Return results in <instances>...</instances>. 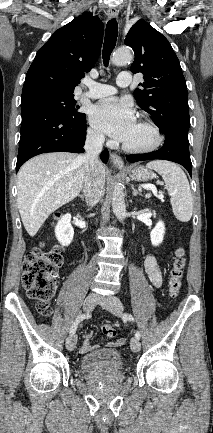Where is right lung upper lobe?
<instances>
[{
    "instance_id": "right-lung-upper-lobe-1",
    "label": "right lung upper lobe",
    "mask_w": 213,
    "mask_h": 433,
    "mask_svg": "<svg viewBox=\"0 0 213 433\" xmlns=\"http://www.w3.org/2000/svg\"><path fill=\"white\" fill-rule=\"evenodd\" d=\"M103 24L83 13L53 33L38 50L24 82L22 96L36 92L73 95L74 88L97 61Z\"/></svg>"
}]
</instances>
